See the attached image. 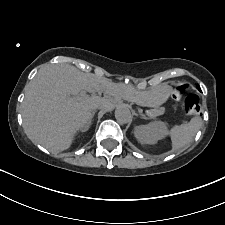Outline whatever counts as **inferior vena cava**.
Instances as JSON below:
<instances>
[{
	"label": "inferior vena cava",
	"instance_id": "obj_1",
	"mask_svg": "<svg viewBox=\"0 0 225 225\" xmlns=\"http://www.w3.org/2000/svg\"><path fill=\"white\" fill-rule=\"evenodd\" d=\"M96 108H104V105L102 104H97L93 107V110L96 109Z\"/></svg>",
	"mask_w": 225,
	"mask_h": 225
}]
</instances>
